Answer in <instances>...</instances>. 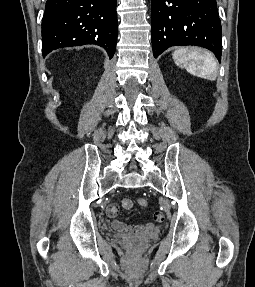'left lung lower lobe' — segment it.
Returning <instances> with one entry per match:
<instances>
[{
	"mask_svg": "<svg viewBox=\"0 0 255 287\" xmlns=\"http://www.w3.org/2000/svg\"><path fill=\"white\" fill-rule=\"evenodd\" d=\"M154 57L171 46L196 45L221 60L222 36L216 0H152Z\"/></svg>",
	"mask_w": 255,
	"mask_h": 287,
	"instance_id": "0a47b994",
	"label": "left lung lower lobe"
}]
</instances>
